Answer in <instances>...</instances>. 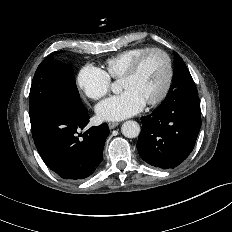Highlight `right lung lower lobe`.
I'll return each mask as SVG.
<instances>
[{
	"label": "right lung lower lobe",
	"instance_id": "obj_1",
	"mask_svg": "<svg viewBox=\"0 0 232 232\" xmlns=\"http://www.w3.org/2000/svg\"><path fill=\"white\" fill-rule=\"evenodd\" d=\"M88 123L89 114L84 106L59 101L39 131L32 135L43 161L64 179H85L102 161L108 125L94 126L78 135V130Z\"/></svg>",
	"mask_w": 232,
	"mask_h": 232
}]
</instances>
